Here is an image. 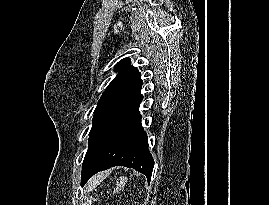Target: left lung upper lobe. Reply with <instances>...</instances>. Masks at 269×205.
I'll list each match as a JSON object with an SVG mask.
<instances>
[{
	"label": "left lung upper lobe",
	"instance_id": "5c2ea615",
	"mask_svg": "<svg viewBox=\"0 0 269 205\" xmlns=\"http://www.w3.org/2000/svg\"><path fill=\"white\" fill-rule=\"evenodd\" d=\"M114 71L119 73L98 101L89 139L110 118L124 110L141 95L142 80L140 73L135 67L130 66L129 58H124L117 63Z\"/></svg>",
	"mask_w": 269,
	"mask_h": 205
}]
</instances>
